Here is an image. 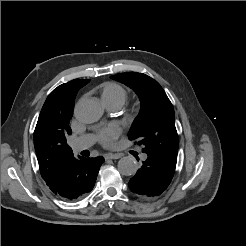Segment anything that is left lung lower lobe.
<instances>
[{"instance_id": "0a47b994", "label": "left lung lower lobe", "mask_w": 246, "mask_h": 246, "mask_svg": "<svg viewBox=\"0 0 246 246\" xmlns=\"http://www.w3.org/2000/svg\"><path fill=\"white\" fill-rule=\"evenodd\" d=\"M176 165L167 160L147 153L142 167L130 179V190L143 199H153L161 195L169 186Z\"/></svg>"}]
</instances>
